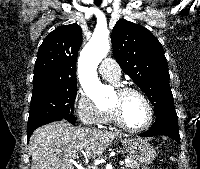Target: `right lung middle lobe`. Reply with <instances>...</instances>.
Returning a JSON list of instances; mask_svg holds the SVG:
<instances>
[{
	"mask_svg": "<svg viewBox=\"0 0 200 169\" xmlns=\"http://www.w3.org/2000/svg\"><path fill=\"white\" fill-rule=\"evenodd\" d=\"M77 82L33 89L28 121L45 117H66L73 113Z\"/></svg>",
	"mask_w": 200,
	"mask_h": 169,
	"instance_id": "1",
	"label": "right lung middle lobe"
}]
</instances>
